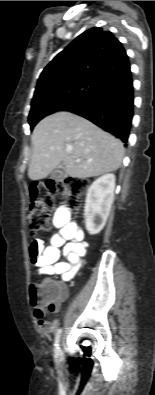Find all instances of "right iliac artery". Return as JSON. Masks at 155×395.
<instances>
[{
	"mask_svg": "<svg viewBox=\"0 0 155 395\" xmlns=\"http://www.w3.org/2000/svg\"><path fill=\"white\" fill-rule=\"evenodd\" d=\"M61 334H62V330L58 329L56 334H55V351H56V354H57L58 349H59V342H60V339H61Z\"/></svg>",
	"mask_w": 155,
	"mask_h": 395,
	"instance_id": "1",
	"label": "right iliac artery"
}]
</instances>
